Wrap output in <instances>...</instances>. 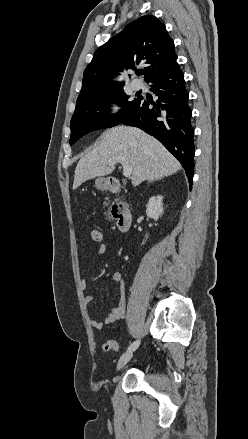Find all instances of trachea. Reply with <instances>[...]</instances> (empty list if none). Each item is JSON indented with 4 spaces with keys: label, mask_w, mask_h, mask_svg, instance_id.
Segmentation results:
<instances>
[{
    "label": "trachea",
    "mask_w": 248,
    "mask_h": 439,
    "mask_svg": "<svg viewBox=\"0 0 248 439\" xmlns=\"http://www.w3.org/2000/svg\"><path fill=\"white\" fill-rule=\"evenodd\" d=\"M136 74H137L138 76H140V75L143 74V71H142V70L136 71Z\"/></svg>",
    "instance_id": "1"
}]
</instances>
